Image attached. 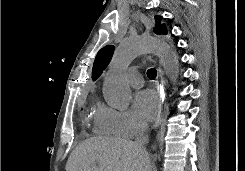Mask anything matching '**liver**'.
<instances>
[{"label":"liver","instance_id":"1","mask_svg":"<svg viewBox=\"0 0 245 171\" xmlns=\"http://www.w3.org/2000/svg\"><path fill=\"white\" fill-rule=\"evenodd\" d=\"M66 171H152L148 153L135 142L114 137L86 139L70 154Z\"/></svg>","mask_w":245,"mask_h":171}]
</instances>
